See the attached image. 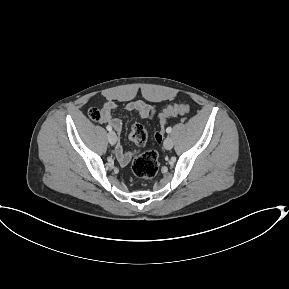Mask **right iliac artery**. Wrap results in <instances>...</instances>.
<instances>
[{"label":"right iliac artery","instance_id":"1","mask_svg":"<svg viewBox=\"0 0 289 289\" xmlns=\"http://www.w3.org/2000/svg\"><path fill=\"white\" fill-rule=\"evenodd\" d=\"M106 129H107L108 131H111V130H112V127L108 125V126L106 127Z\"/></svg>","mask_w":289,"mask_h":289}]
</instances>
